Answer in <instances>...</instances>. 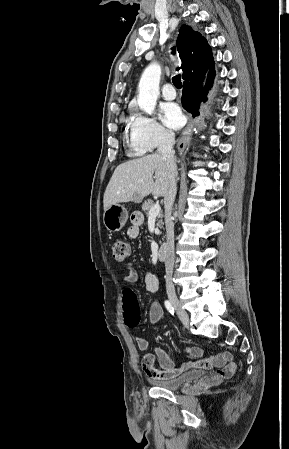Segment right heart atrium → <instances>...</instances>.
I'll use <instances>...</instances> for the list:
<instances>
[{
	"instance_id": "d8ad5b80",
	"label": "right heart atrium",
	"mask_w": 289,
	"mask_h": 449,
	"mask_svg": "<svg viewBox=\"0 0 289 449\" xmlns=\"http://www.w3.org/2000/svg\"><path fill=\"white\" fill-rule=\"evenodd\" d=\"M172 133L159 124L156 119L137 113L130 122V140L132 146L146 151H152L169 144Z\"/></svg>"
}]
</instances>
